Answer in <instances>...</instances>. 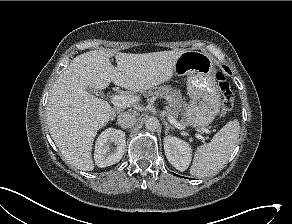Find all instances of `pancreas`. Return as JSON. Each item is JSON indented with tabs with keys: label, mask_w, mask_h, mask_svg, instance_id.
Returning a JSON list of instances; mask_svg holds the SVG:
<instances>
[{
	"label": "pancreas",
	"mask_w": 292,
	"mask_h": 224,
	"mask_svg": "<svg viewBox=\"0 0 292 224\" xmlns=\"http://www.w3.org/2000/svg\"><path fill=\"white\" fill-rule=\"evenodd\" d=\"M149 94H154L160 98H164L168 102L167 112L169 116L177 119L180 115L182 108L185 106V100L179 90H173L169 86H160L157 89L149 90ZM182 125L185 123L182 121Z\"/></svg>",
	"instance_id": "cf45deb5"
}]
</instances>
